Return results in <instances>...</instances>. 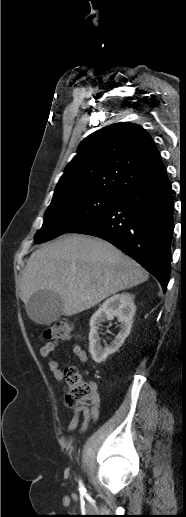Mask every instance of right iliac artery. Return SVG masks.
Wrapping results in <instances>:
<instances>
[{
    "label": "right iliac artery",
    "mask_w": 186,
    "mask_h": 517,
    "mask_svg": "<svg viewBox=\"0 0 186 517\" xmlns=\"http://www.w3.org/2000/svg\"><path fill=\"white\" fill-rule=\"evenodd\" d=\"M85 490L84 486L82 485V483H80V491H83Z\"/></svg>",
    "instance_id": "obj_1"
}]
</instances>
